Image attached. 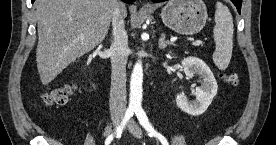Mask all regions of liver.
<instances>
[{"label":"liver","instance_id":"1","mask_svg":"<svg viewBox=\"0 0 276 145\" xmlns=\"http://www.w3.org/2000/svg\"><path fill=\"white\" fill-rule=\"evenodd\" d=\"M35 5L38 20L36 62L41 82L47 85L70 63L104 40L118 2L37 0Z\"/></svg>","mask_w":276,"mask_h":145}]
</instances>
